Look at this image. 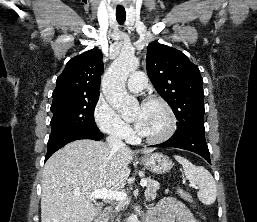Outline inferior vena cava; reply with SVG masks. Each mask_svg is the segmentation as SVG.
Masks as SVG:
<instances>
[{"mask_svg": "<svg viewBox=\"0 0 257 222\" xmlns=\"http://www.w3.org/2000/svg\"><path fill=\"white\" fill-rule=\"evenodd\" d=\"M106 141L113 152H116V151L120 150L121 148L125 147V143L122 141V138L118 134H115V133L110 134L106 138Z\"/></svg>", "mask_w": 257, "mask_h": 222, "instance_id": "obj_1", "label": "inferior vena cava"}]
</instances>
